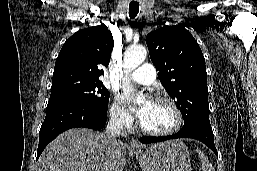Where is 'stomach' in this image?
<instances>
[{
    "label": "stomach",
    "mask_w": 257,
    "mask_h": 171,
    "mask_svg": "<svg viewBox=\"0 0 257 171\" xmlns=\"http://www.w3.org/2000/svg\"><path fill=\"white\" fill-rule=\"evenodd\" d=\"M133 153L143 171H191L188 148L180 140L153 144Z\"/></svg>",
    "instance_id": "obj_1"
}]
</instances>
